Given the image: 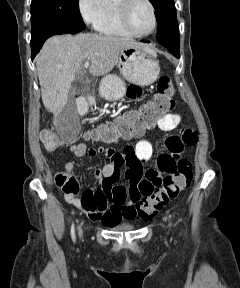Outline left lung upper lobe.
Returning <instances> with one entry per match:
<instances>
[{
	"label": "left lung upper lobe",
	"instance_id": "obj_1",
	"mask_svg": "<svg viewBox=\"0 0 240 288\" xmlns=\"http://www.w3.org/2000/svg\"><path fill=\"white\" fill-rule=\"evenodd\" d=\"M155 8L158 41H180L174 0H149Z\"/></svg>",
	"mask_w": 240,
	"mask_h": 288
}]
</instances>
